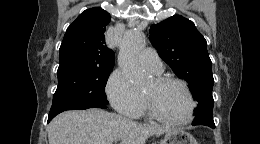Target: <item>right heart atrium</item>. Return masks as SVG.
I'll list each match as a JSON object with an SVG mask.
<instances>
[{"label": "right heart atrium", "mask_w": 260, "mask_h": 144, "mask_svg": "<svg viewBox=\"0 0 260 144\" xmlns=\"http://www.w3.org/2000/svg\"><path fill=\"white\" fill-rule=\"evenodd\" d=\"M105 91L112 107L126 116H134L143 104L141 93L132 85L120 69H115L108 77Z\"/></svg>", "instance_id": "right-heart-atrium-1"}]
</instances>
